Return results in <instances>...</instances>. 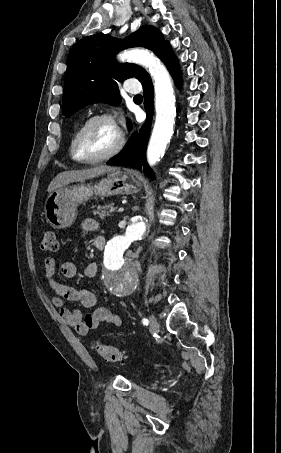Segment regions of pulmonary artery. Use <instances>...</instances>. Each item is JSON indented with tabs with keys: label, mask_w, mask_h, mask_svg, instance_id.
<instances>
[{
	"label": "pulmonary artery",
	"mask_w": 281,
	"mask_h": 453,
	"mask_svg": "<svg viewBox=\"0 0 281 453\" xmlns=\"http://www.w3.org/2000/svg\"><path fill=\"white\" fill-rule=\"evenodd\" d=\"M124 89H125L126 91L132 92V91H131L130 89H128L127 87H124Z\"/></svg>",
	"instance_id": "obj_1"
}]
</instances>
